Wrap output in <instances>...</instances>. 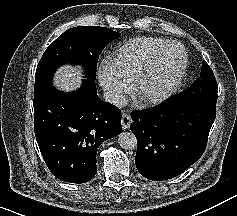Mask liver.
I'll list each match as a JSON object with an SVG mask.
<instances>
[{
	"mask_svg": "<svg viewBox=\"0 0 237 216\" xmlns=\"http://www.w3.org/2000/svg\"><path fill=\"white\" fill-rule=\"evenodd\" d=\"M79 81V75L72 68H64L57 75V84L62 88H74Z\"/></svg>",
	"mask_w": 237,
	"mask_h": 216,
	"instance_id": "liver-1",
	"label": "liver"
}]
</instances>
